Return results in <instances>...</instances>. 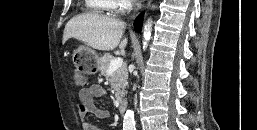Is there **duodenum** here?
<instances>
[{
  "instance_id": "duodenum-1",
  "label": "duodenum",
  "mask_w": 257,
  "mask_h": 130,
  "mask_svg": "<svg viewBox=\"0 0 257 130\" xmlns=\"http://www.w3.org/2000/svg\"><path fill=\"white\" fill-rule=\"evenodd\" d=\"M127 110V101L125 99L118 100V111L121 114H124Z\"/></svg>"
}]
</instances>
